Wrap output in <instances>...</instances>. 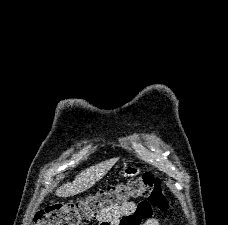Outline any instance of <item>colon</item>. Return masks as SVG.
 I'll use <instances>...</instances> for the list:
<instances>
[{
  "mask_svg": "<svg viewBox=\"0 0 228 225\" xmlns=\"http://www.w3.org/2000/svg\"><path fill=\"white\" fill-rule=\"evenodd\" d=\"M133 198L147 200L160 209L168 207L159 178L145 173L103 187L85 200L54 202L38 211L34 225H89L93 219L104 216V211L114 212Z\"/></svg>",
  "mask_w": 228,
  "mask_h": 225,
  "instance_id": "5ec220e1",
  "label": "colon"
}]
</instances>
